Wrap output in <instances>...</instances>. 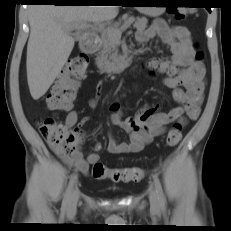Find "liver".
<instances>
[{
    "label": "liver",
    "mask_w": 231,
    "mask_h": 231,
    "mask_svg": "<svg viewBox=\"0 0 231 231\" xmlns=\"http://www.w3.org/2000/svg\"><path fill=\"white\" fill-rule=\"evenodd\" d=\"M118 6L32 5L28 8L30 37L27 45V81L34 100L50 88L67 62L74 38L68 29L84 22L110 21Z\"/></svg>",
    "instance_id": "obj_1"
}]
</instances>
